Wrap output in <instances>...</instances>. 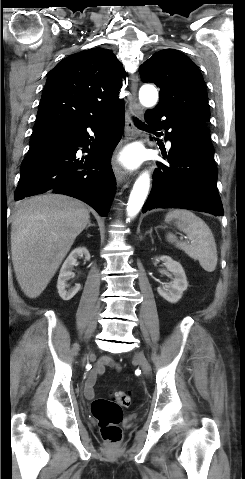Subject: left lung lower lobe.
Here are the masks:
<instances>
[{"mask_svg":"<svg viewBox=\"0 0 245 479\" xmlns=\"http://www.w3.org/2000/svg\"><path fill=\"white\" fill-rule=\"evenodd\" d=\"M163 116L166 120L162 123ZM145 120L152 130L171 129L165 133V140L171 141V149L168 155L161 149L168 164L158 163L142 212L153 208H181L222 216L218 170L207 124L196 119H174L159 109L147 110Z\"/></svg>","mask_w":245,"mask_h":479,"instance_id":"0a47b994","label":"left lung lower lobe"}]
</instances>
